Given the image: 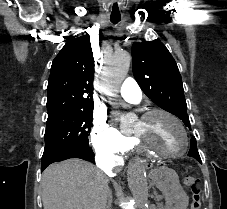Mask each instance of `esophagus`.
Masks as SVG:
<instances>
[{"label": "esophagus", "mask_w": 227, "mask_h": 209, "mask_svg": "<svg viewBox=\"0 0 227 209\" xmlns=\"http://www.w3.org/2000/svg\"><path fill=\"white\" fill-rule=\"evenodd\" d=\"M154 166V163L153 162H146L145 164L142 165V168L144 170H147V169H152Z\"/></svg>", "instance_id": "esophagus-1"}]
</instances>
